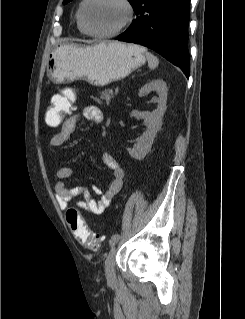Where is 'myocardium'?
Instances as JSON below:
<instances>
[{"instance_id":"f54148a6","label":"myocardium","mask_w":245,"mask_h":319,"mask_svg":"<svg viewBox=\"0 0 245 319\" xmlns=\"http://www.w3.org/2000/svg\"><path fill=\"white\" fill-rule=\"evenodd\" d=\"M92 1L93 0H83V3L80 8V23L84 32L94 38L108 39V38H112L119 35L132 23L135 17V9L130 0H115L116 2L120 3L126 11V17L124 21L122 22V24L110 32H104V33L93 32L88 28L86 24V20H85V13H86L87 6Z\"/></svg>"}]
</instances>
